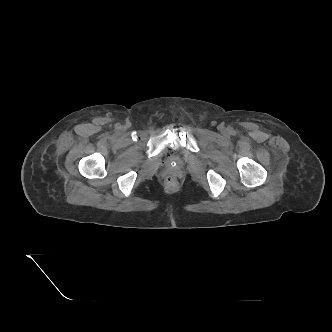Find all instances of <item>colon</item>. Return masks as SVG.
Returning a JSON list of instances; mask_svg holds the SVG:
<instances>
[{
	"label": "colon",
	"mask_w": 332,
	"mask_h": 332,
	"mask_svg": "<svg viewBox=\"0 0 332 332\" xmlns=\"http://www.w3.org/2000/svg\"><path fill=\"white\" fill-rule=\"evenodd\" d=\"M177 180L174 176H167L165 179V185L169 189H174L177 187Z\"/></svg>",
	"instance_id": "1"
}]
</instances>
